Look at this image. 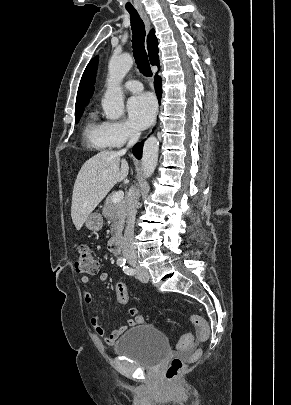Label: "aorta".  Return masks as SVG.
<instances>
[{
  "label": "aorta",
  "instance_id": "1",
  "mask_svg": "<svg viewBox=\"0 0 291 405\" xmlns=\"http://www.w3.org/2000/svg\"><path fill=\"white\" fill-rule=\"evenodd\" d=\"M133 64L132 56L129 53L113 55L108 65L107 90L102 99V107L106 118L117 120L124 113V98L121 89V82ZM159 142L156 137L151 136L143 146L141 160L143 175L149 178L153 173L158 161Z\"/></svg>",
  "mask_w": 291,
  "mask_h": 405
}]
</instances>
